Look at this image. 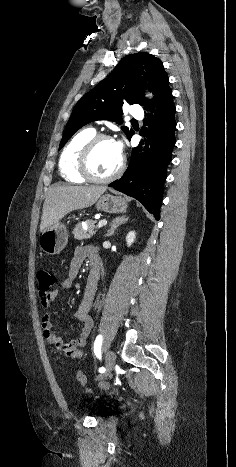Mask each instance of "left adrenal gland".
<instances>
[{"label":"left adrenal gland","mask_w":236,"mask_h":467,"mask_svg":"<svg viewBox=\"0 0 236 467\" xmlns=\"http://www.w3.org/2000/svg\"><path fill=\"white\" fill-rule=\"evenodd\" d=\"M129 217L126 215L116 217L112 220L110 224V229L106 233V237L112 236L117 228L125 224L128 221Z\"/></svg>","instance_id":"obj_1"}]
</instances>
